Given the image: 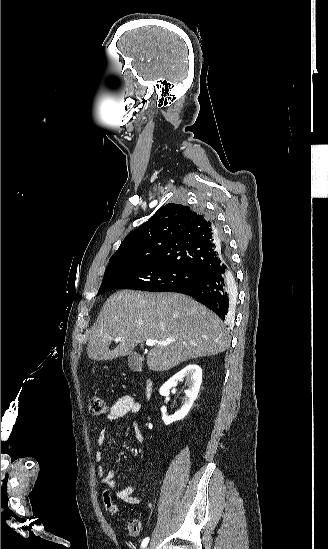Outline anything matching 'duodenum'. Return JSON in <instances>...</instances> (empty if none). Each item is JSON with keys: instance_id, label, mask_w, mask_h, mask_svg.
<instances>
[{"instance_id": "410a0bca", "label": "duodenum", "mask_w": 328, "mask_h": 549, "mask_svg": "<svg viewBox=\"0 0 328 549\" xmlns=\"http://www.w3.org/2000/svg\"><path fill=\"white\" fill-rule=\"evenodd\" d=\"M145 392H146V397L148 399H151L153 395V383L151 380H147Z\"/></svg>"}]
</instances>
